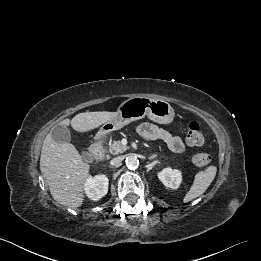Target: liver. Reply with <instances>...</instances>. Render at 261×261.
I'll list each match as a JSON object with an SVG mask.
<instances>
[{
    "instance_id": "6515ba94",
    "label": "liver",
    "mask_w": 261,
    "mask_h": 261,
    "mask_svg": "<svg viewBox=\"0 0 261 261\" xmlns=\"http://www.w3.org/2000/svg\"><path fill=\"white\" fill-rule=\"evenodd\" d=\"M116 116L117 112H85L77 114L72 120L65 119L60 124L71 125L77 132L85 133ZM40 170L54 200L70 208L83 204L84 183L89 177L90 165L88 161H83L72 144L58 143L49 133L41 149Z\"/></svg>"
}]
</instances>
